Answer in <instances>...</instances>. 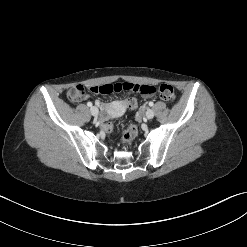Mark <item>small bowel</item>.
<instances>
[{
  "label": "small bowel",
  "mask_w": 247,
  "mask_h": 247,
  "mask_svg": "<svg viewBox=\"0 0 247 247\" xmlns=\"http://www.w3.org/2000/svg\"><path fill=\"white\" fill-rule=\"evenodd\" d=\"M139 85V84H138ZM151 86V85H150ZM128 93H136V92H134L133 90H130V91H128ZM133 98V97H132ZM148 98V97H147ZM84 99H86V96L85 95H82V96H79V97H74V98H72V100L73 101H75V102H80V101H83ZM135 99V98H134ZM136 100V99H135ZM126 101V100H125ZM124 101V102H125ZM124 102H123V105H124ZM102 106V108L104 109V110H107V106L105 105V104H102L101 105ZM132 109V108H131Z\"/></svg>",
  "instance_id": "1"
}]
</instances>
